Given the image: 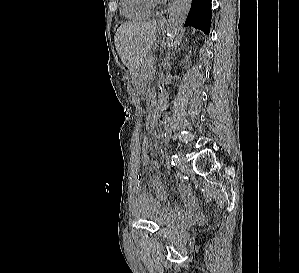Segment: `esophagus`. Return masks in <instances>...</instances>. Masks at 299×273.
I'll list each match as a JSON object with an SVG mask.
<instances>
[{
	"instance_id": "34e87169",
	"label": "esophagus",
	"mask_w": 299,
	"mask_h": 273,
	"mask_svg": "<svg viewBox=\"0 0 299 273\" xmlns=\"http://www.w3.org/2000/svg\"><path fill=\"white\" fill-rule=\"evenodd\" d=\"M166 18L165 17H161L160 19H159V23H161V24H163V23H166Z\"/></svg>"
}]
</instances>
